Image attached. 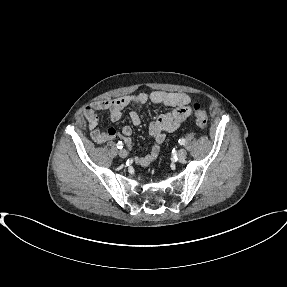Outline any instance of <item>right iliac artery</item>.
<instances>
[{"instance_id":"82829eb1","label":"right iliac artery","mask_w":287,"mask_h":287,"mask_svg":"<svg viewBox=\"0 0 287 287\" xmlns=\"http://www.w3.org/2000/svg\"><path fill=\"white\" fill-rule=\"evenodd\" d=\"M117 148H118V149H122V148H123V143H122L121 141H119V142L117 143Z\"/></svg>"}]
</instances>
